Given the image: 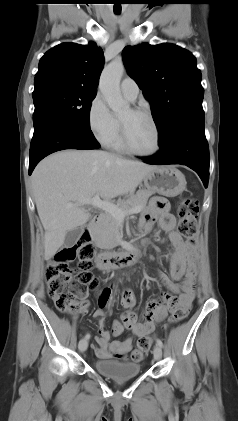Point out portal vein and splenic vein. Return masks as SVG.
<instances>
[{"label": "portal vein and splenic vein", "mask_w": 238, "mask_h": 421, "mask_svg": "<svg viewBox=\"0 0 238 421\" xmlns=\"http://www.w3.org/2000/svg\"><path fill=\"white\" fill-rule=\"evenodd\" d=\"M81 205H93L96 206L108 213H110L112 216H114L115 218H117L118 220H123L125 218L126 215L129 214H135V213H139L141 211L140 208L135 207V208H129V209H120L117 205L112 204L110 202L107 201H102L98 195H95L92 199L90 200H81L78 202H71L67 204V207L72 208L75 206H81Z\"/></svg>", "instance_id": "1"}]
</instances>
